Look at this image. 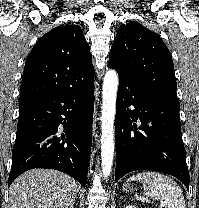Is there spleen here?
<instances>
[{"mask_svg": "<svg viewBox=\"0 0 199 208\" xmlns=\"http://www.w3.org/2000/svg\"><path fill=\"white\" fill-rule=\"evenodd\" d=\"M128 181L142 182L144 194L153 200L164 201L168 208H186L180 187L166 175L147 171L132 175Z\"/></svg>", "mask_w": 199, "mask_h": 208, "instance_id": "spleen-1", "label": "spleen"}]
</instances>
